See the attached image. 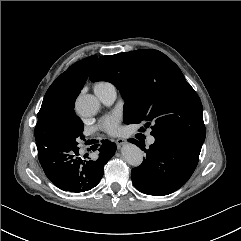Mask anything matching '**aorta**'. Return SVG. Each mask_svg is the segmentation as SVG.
<instances>
[{
    "mask_svg": "<svg viewBox=\"0 0 241 241\" xmlns=\"http://www.w3.org/2000/svg\"><path fill=\"white\" fill-rule=\"evenodd\" d=\"M100 102L94 95L81 94L77 97L75 102V109L77 113L83 117H90L99 111ZM124 160L134 166L138 167L143 162L142 150L134 144L127 143L121 149Z\"/></svg>",
    "mask_w": 241,
    "mask_h": 241,
    "instance_id": "aorta-1",
    "label": "aorta"
}]
</instances>
